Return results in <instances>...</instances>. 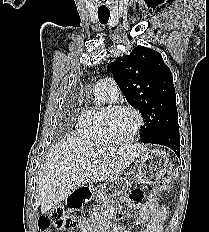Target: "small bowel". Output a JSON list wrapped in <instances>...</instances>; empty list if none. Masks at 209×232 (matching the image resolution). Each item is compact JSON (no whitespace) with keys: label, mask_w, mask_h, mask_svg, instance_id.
I'll list each match as a JSON object with an SVG mask.
<instances>
[{"label":"small bowel","mask_w":209,"mask_h":232,"mask_svg":"<svg viewBox=\"0 0 209 232\" xmlns=\"http://www.w3.org/2000/svg\"><path fill=\"white\" fill-rule=\"evenodd\" d=\"M134 190H128V213L133 208H139L144 205L140 210V219L146 222V226L142 229L125 230L121 228L108 229L107 220L115 216V212L111 207H108L102 215H98L93 223L87 220L80 222L81 232H95L96 229L102 232H161L163 222L166 219L167 212L164 208L160 207L156 198H151L148 203V194L145 185H134ZM146 203V204H145Z\"/></svg>","instance_id":"1"}]
</instances>
